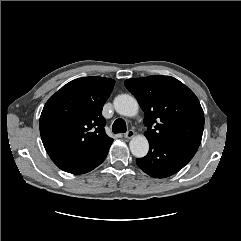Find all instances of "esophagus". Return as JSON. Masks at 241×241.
<instances>
[{
    "instance_id": "obj_1",
    "label": "esophagus",
    "mask_w": 241,
    "mask_h": 241,
    "mask_svg": "<svg viewBox=\"0 0 241 241\" xmlns=\"http://www.w3.org/2000/svg\"><path fill=\"white\" fill-rule=\"evenodd\" d=\"M135 136V132L133 130H128L125 134L124 137L127 139H131Z\"/></svg>"
}]
</instances>
